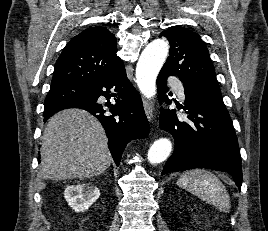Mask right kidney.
Instances as JSON below:
<instances>
[{
  "mask_svg": "<svg viewBox=\"0 0 268 231\" xmlns=\"http://www.w3.org/2000/svg\"><path fill=\"white\" fill-rule=\"evenodd\" d=\"M100 191L93 184L70 185L64 191L68 205L75 212H84L99 198Z\"/></svg>",
  "mask_w": 268,
  "mask_h": 231,
  "instance_id": "right-kidney-1",
  "label": "right kidney"
}]
</instances>
